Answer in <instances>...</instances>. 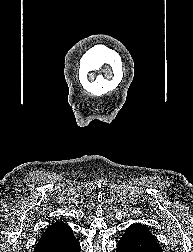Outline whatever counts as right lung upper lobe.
Wrapping results in <instances>:
<instances>
[{
  "label": "right lung upper lobe",
  "instance_id": "1",
  "mask_svg": "<svg viewBox=\"0 0 193 252\" xmlns=\"http://www.w3.org/2000/svg\"><path fill=\"white\" fill-rule=\"evenodd\" d=\"M66 229H70V228L63 222L54 223L51 226H49L45 232H43L41 239L53 234L56 231L66 230Z\"/></svg>",
  "mask_w": 193,
  "mask_h": 252
}]
</instances>
